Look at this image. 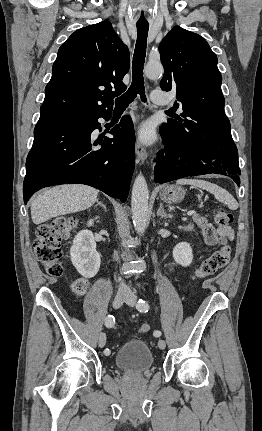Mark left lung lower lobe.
I'll return each instance as SVG.
<instances>
[{"label": "left lung lower lobe", "mask_w": 262, "mask_h": 431, "mask_svg": "<svg viewBox=\"0 0 262 431\" xmlns=\"http://www.w3.org/2000/svg\"><path fill=\"white\" fill-rule=\"evenodd\" d=\"M162 136V135H161ZM165 149L158 151L155 164L157 183L204 174H220L231 177L240 185L238 151L233 141L220 152H206L190 148H177L163 136Z\"/></svg>", "instance_id": "1"}]
</instances>
